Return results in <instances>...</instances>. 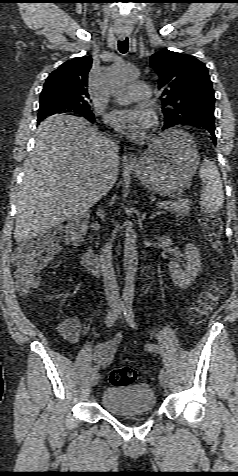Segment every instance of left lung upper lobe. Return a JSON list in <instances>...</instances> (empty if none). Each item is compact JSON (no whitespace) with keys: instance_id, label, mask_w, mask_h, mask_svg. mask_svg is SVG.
I'll return each instance as SVG.
<instances>
[{"instance_id":"obj_1","label":"left lung upper lobe","mask_w":238,"mask_h":476,"mask_svg":"<svg viewBox=\"0 0 238 476\" xmlns=\"http://www.w3.org/2000/svg\"><path fill=\"white\" fill-rule=\"evenodd\" d=\"M151 67L163 89L165 127L214 121V91L206 66L193 56L167 49L153 54Z\"/></svg>"}]
</instances>
